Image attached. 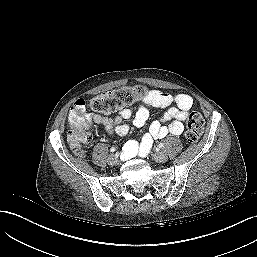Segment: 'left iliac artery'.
<instances>
[{"instance_id": "left-iliac-artery-1", "label": "left iliac artery", "mask_w": 257, "mask_h": 257, "mask_svg": "<svg viewBox=\"0 0 257 257\" xmlns=\"http://www.w3.org/2000/svg\"><path fill=\"white\" fill-rule=\"evenodd\" d=\"M158 147H159V148H163V147H164V144H163V143H160V144L158 145Z\"/></svg>"}]
</instances>
